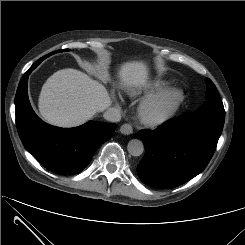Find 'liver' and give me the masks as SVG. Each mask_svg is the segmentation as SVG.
Instances as JSON below:
<instances>
[{
    "instance_id": "liver-1",
    "label": "liver",
    "mask_w": 245,
    "mask_h": 245,
    "mask_svg": "<svg viewBox=\"0 0 245 245\" xmlns=\"http://www.w3.org/2000/svg\"><path fill=\"white\" fill-rule=\"evenodd\" d=\"M118 77L124 87H145L149 68L142 60L119 66ZM111 104L105 87L85 73L68 68L55 72L42 86L38 108L42 118L59 127H75L92 119Z\"/></svg>"
}]
</instances>
